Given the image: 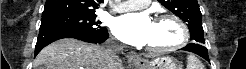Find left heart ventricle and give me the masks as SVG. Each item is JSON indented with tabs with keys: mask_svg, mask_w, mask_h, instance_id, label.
Instances as JSON below:
<instances>
[{
	"mask_svg": "<svg viewBox=\"0 0 246 69\" xmlns=\"http://www.w3.org/2000/svg\"><path fill=\"white\" fill-rule=\"evenodd\" d=\"M180 37L179 29L171 21H154L147 45L161 47L174 44Z\"/></svg>",
	"mask_w": 246,
	"mask_h": 69,
	"instance_id": "b2bd125f",
	"label": "left heart ventricle"
}]
</instances>
